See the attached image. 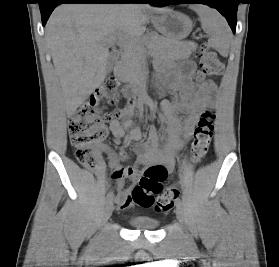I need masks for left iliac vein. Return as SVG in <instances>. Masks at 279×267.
Returning a JSON list of instances; mask_svg holds the SVG:
<instances>
[{
    "instance_id": "1",
    "label": "left iliac vein",
    "mask_w": 279,
    "mask_h": 267,
    "mask_svg": "<svg viewBox=\"0 0 279 267\" xmlns=\"http://www.w3.org/2000/svg\"><path fill=\"white\" fill-rule=\"evenodd\" d=\"M176 216L180 223L184 224V214L180 207L176 209Z\"/></svg>"
}]
</instances>
